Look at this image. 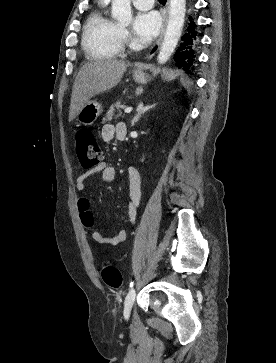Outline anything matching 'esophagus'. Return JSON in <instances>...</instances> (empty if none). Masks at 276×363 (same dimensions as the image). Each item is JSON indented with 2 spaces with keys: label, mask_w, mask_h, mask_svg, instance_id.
<instances>
[{
  "label": "esophagus",
  "mask_w": 276,
  "mask_h": 363,
  "mask_svg": "<svg viewBox=\"0 0 276 363\" xmlns=\"http://www.w3.org/2000/svg\"><path fill=\"white\" fill-rule=\"evenodd\" d=\"M168 10H169V0H167L166 8H165V11H164V20H163V25H162V28H161V33L159 35V38H158L157 42L150 49V51H149V53L147 55L148 59H151L156 54V52L158 51L159 46H160V44L162 42L164 32H165L166 23H167V18H168Z\"/></svg>",
  "instance_id": "esophagus-1"
}]
</instances>
